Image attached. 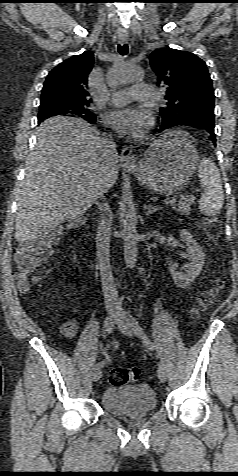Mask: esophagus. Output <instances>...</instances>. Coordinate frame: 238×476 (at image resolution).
Instances as JSON below:
<instances>
[{"label": "esophagus", "instance_id": "1", "mask_svg": "<svg viewBox=\"0 0 238 476\" xmlns=\"http://www.w3.org/2000/svg\"><path fill=\"white\" fill-rule=\"evenodd\" d=\"M119 42L124 44L128 41L129 36L128 34H119L118 35ZM120 161L123 166L129 167L135 165V159L132 155V149L129 146H124L121 151Z\"/></svg>", "mask_w": 238, "mask_h": 476}]
</instances>
